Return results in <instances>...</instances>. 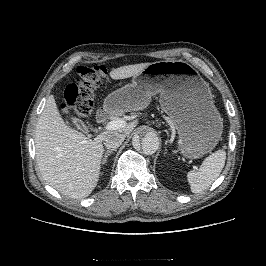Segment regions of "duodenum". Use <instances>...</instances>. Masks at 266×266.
Instances as JSON below:
<instances>
[{
  "label": "duodenum",
  "instance_id": "duodenum-1",
  "mask_svg": "<svg viewBox=\"0 0 266 266\" xmlns=\"http://www.w3.org/2000/svg\"><path fill=\"white\" fill-rule=\"evenodd\" d=\"M116 109L109 105H106L97 113V120L99 122H105L114 116Z\"/></svg>",
  "mask_w": 266,
  "mask_h": 266
}]
</instances>
